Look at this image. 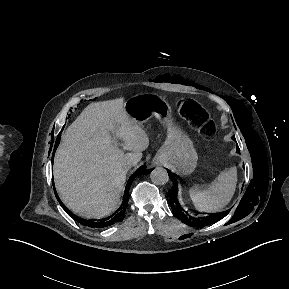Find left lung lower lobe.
I'll return each mask as SVG.
<instances>
[{
	"label": "left lung lower lobe",
	"instance_id": "1",
	"mask_svg": "<svg viewBox=\"0 0 289 289\" xmlns=\"http://www.w3.org/2000/svg\"><path fill=\"white\" fill-rule=\"evenodd\" d=\"M168 193L170 196L169 203L173 210V213L176 214L183 223L189 226L203 227V226L212 224L214 222H217L218 220L221 219V217L194 218L191 215L187 214L185 210L182 208V206L180 205V203L178 202V199H177L178 187L174 180H173V187Z\"/></svg>",
	"mask_w": 289,
	"mask_h": 289
}]
</instances>
